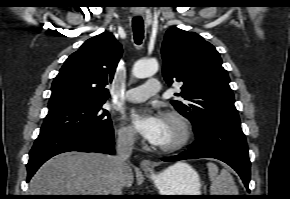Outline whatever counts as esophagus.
<instances>
[{"label": "esophagus", "instance_id": "obj_1", "mask_svg": "<svg viewBox=\"0 0 290 199\" xmlns=\"http://www.w3.org/2000/svg\"><path fill=\"white\" fill-rule=\"evenodd\" d=\"M140 167L143 171L147 172V171H151L153 168L152 162L148 159H144L142 160V162L140 163Z\"/></svg>", "mask_w": 290, "mask_h": 199}]
</instances>
